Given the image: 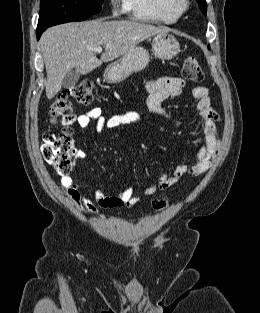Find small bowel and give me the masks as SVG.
I'll return each mask as SVG.
<instances>
[{"instance_id":"small-bowel-1","label":"small bowel","mask_w":260,"mask_h":313,"mask_svg":"<svg viewBox=\"0 0 260 313\" xmlns=\"http://www.w3.org/2000/svg\"><path fill=\"white\" fill-rule=\"evenodd\" d=\"M185 81L179 77L159 76L147 84V105L150 112L159 118L170 120L169 114L163 107V102L171 97L182 95ZM193 97L198 102L199 116L204 126V143L197 153V161L193 164H179L171 174H161L156 185L147 187L143 191L145 197H151L158 191H166L176 184L184 175L200 177L206 174L214 164L220 148V139L217 131L219 116L210 106L209 91L204 86L193 89ZM95 121L96 129L100 132L107 128H116L123 125H138L145 123L143 117L136 112L117 114L104 117L98 107L88 109L77 117V124L81 128L88 127ZM84 153L79 151L77 158H83ZM61 187L67 193L76 208L88 215H95L100 208L133 207L140 202V197L134 194L132 188H127L116 194L96 192L94 199L83 193L81 186L73 176L66 175L60 180Z\"/></svg>"}]
</instances>
